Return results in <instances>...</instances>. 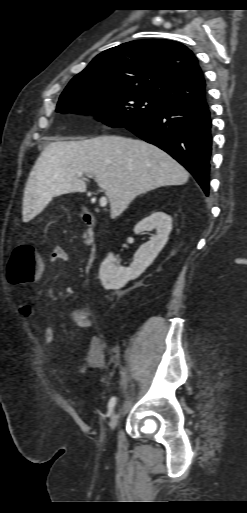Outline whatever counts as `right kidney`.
Instances as JSON below:
<instances>
[{
  "label": "right kidney",
  "instance_id": "ca27d5eb",
  "mask_svg": "<svg viewBox=\"0 0 247 513\" xmlns=\"http://www.w3.org/2000/svg\"><path fill=\"white\" fill-rule=\"evenodd\" d=\"M156 230L150 240L140 246L129 268L116 265V258L110 253L102 262L99 277L105 289H120L130 279L137 278L151 265L168 241L172 230V218L164 212H154L141 220L134 228V233Z\"/></svg>",
  "mask_w": 247,
  "mask_h": 513
}]
</instances>
